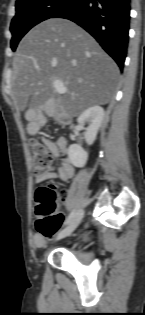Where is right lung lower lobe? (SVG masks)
<instances>
[{
	"instance_id": "right-lung-lower-lobe-1",
	"label": "right lung lower lobe",
	"mask_w": 145,
	"mask_h": 315,
	"mask_svg": "<svg viewBox=\"0 0 145 315\" xmlns=\"http://www.w3.org/2000/svg\"><path fill=\"white\" fill-rule=\"evenodd\" d=\"M53 18H66L87 30L124 67L130 23V0H73Z\"/></svg>"
}]
</instances>
